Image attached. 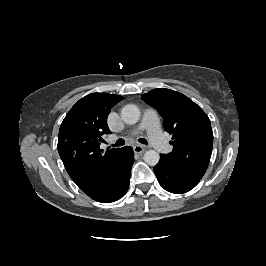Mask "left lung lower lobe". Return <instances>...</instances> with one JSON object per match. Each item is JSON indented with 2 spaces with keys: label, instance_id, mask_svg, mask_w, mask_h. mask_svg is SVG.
Instances as JSON below:
<instances>
[{
  "label": "left lung lower lobe",
  "instance_id": "1",
  "mask_svg": "<svg viewBox=\"0 0 266 266\" xmlns=\"http://www.w3.org/2000/svg\"><path fill=\"white\" fill-rule=\"evenodd\" d=\"M160 185L168 192L181 194L193 189L203 177L202 171H184L170 165L162 156L154 167Z\"/></svg>",
  "mask_w": 266,
  "mask_h": 266
}]
</instances>
